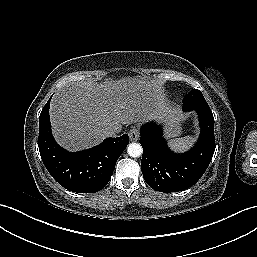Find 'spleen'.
Returning <instances> with one entry per match:
<instances>
[{
  "label": "spleen",
  "instance_id": "3e777b00",
  "mask_svg": "<svg viewBox=\"0 0 257 257\" xmlns=\"http://www.w3.org/2000/svg\"><path fill=\"white\" fill-rule=\"evenodd\" d=\"M194 142V138L192 136H186L184 138H176L170 142V146L176 151H185L189 149V147Z\"/></svg>",
  "mask_w": 257,
  "mask_h": 257
}]
</instances>
